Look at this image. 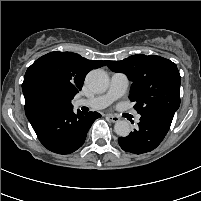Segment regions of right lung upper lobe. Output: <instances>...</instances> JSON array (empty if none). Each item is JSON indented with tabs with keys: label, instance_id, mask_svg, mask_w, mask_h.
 Masks as SVG:
<instances>
[{
	"label": "right lung upper lobe",
	"instance_id": "1",
	"mask_svg": "<svg viewBox=\"0 0 201 201\" xmlns=\"http://www.w3.org/2000/svg\"><path fill=\"white\" fill-rule=\"evenodd\" d=\"M107 61L88 60L72 52H51L37 59L26 71L22 84L25 107L39 102L71 106L87 73Z\"/></svg>",
	"mask_w": 201,
	"mask_h": 201
}]
</instances>
